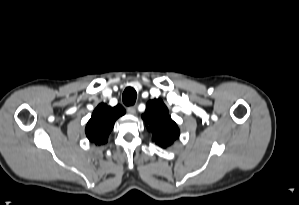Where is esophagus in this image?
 Here are the masks:
<instances>
[{
    "label": "esophagus",
    "instance_id": "esophagus-1",
    "mask_svg": "<svg viewBox=\"0 0 299 205\" xmlns=\"http://www.w3.org/2000/svg\"><path fill=\"white\" fill-rule=\"evenodd\" d=\"M127 112L131 115H135L136 114V106H130L127 108Z\"/></svg>",
    "mask_w": 299,
    "mask_h": 205
}]
</instances>
